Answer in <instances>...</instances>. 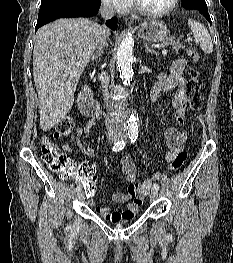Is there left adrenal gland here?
Segmentation results:
<instances>
[{"mask_svg": "<svg viewBox=\"0 0 233 263\" xmlns=\"http://www.w3.org/2000/svg\"><path fill=\"white\" fill-rule=\"evenodd\" d=\"M144 47H145V52H146V53L149 52V53L154 54V55L157 56V52H156L155 50L149 48L147 45H145Z\"/></svg>", "mask_w": 233, "mask_h": 263, "instance_id": "a2214340", "label": "left adrenal gland"}]
</instances>
